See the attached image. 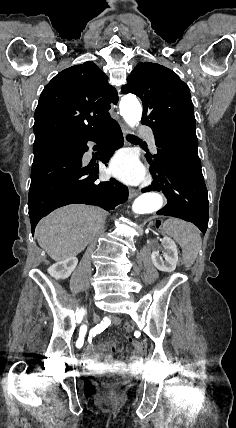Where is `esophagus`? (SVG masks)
<instances>
[{"label":"esophagus","mask_w":236,"mask_h":428,"mask_svg":"<svg viewBox=\"0 0 236 428\" xmlns=\"http://www.w3.org/2000/svg\"><path fill=\"white\" fill-rule=\"evenodd\" d=\"M120 127H121V130L123 132L124 137H126L127 135L130 134V130L128 129V127L123 122H120ZM125 143L127 144L128 142L125 140ZM137 194H138V191L136 188H130L129 189V197L130 198L135 197Z\"/></svg>","instance_id":"1"}]
</instances>
